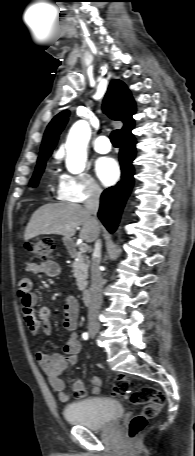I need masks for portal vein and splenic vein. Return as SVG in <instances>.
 Here are the masks:
<instances>
[{"instance_id": "1", "label": "portal vein and splenic vein", "mask_w": 195, "mask_h": 456, "mask_svg": "<svg viewBox=\"0 0 195 456\" xmlns=\"http://www.w3.org/2000/svg\"><path fill=\"white\" fill-rule=\"evenodd\" d=\"M88 249V246L86 244H81L79 247L80 252L85 253Z\"/></svg>"}]
</instances>
